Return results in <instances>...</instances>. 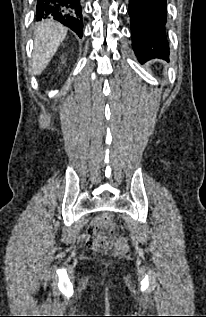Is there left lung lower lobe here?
<instances>
[{"label":"left lung lower lobe","instance_id":"0a47b994","mask_svg":"<svg viewBox=\"0 0 206 317\" xmlns=\"http://www.w3.org/2000/svg\"><path fill=\"white\" fill-rule=\"evenodd\" d=\"M132 46L140 62L169 60L165 34L166 0H129Z\"/></svg>","mask_w":206,"mask_h":317}]
</instances>
